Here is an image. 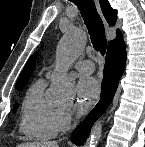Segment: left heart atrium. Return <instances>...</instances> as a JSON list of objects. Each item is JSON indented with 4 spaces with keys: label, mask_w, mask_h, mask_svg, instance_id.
I'll list each match as a JSON object with an SVG mask.
<instances>
[{
    "label": "left heart atrium",
    "mask_w": 145,
    "mask_h": 147,
    "mask_svg": "<svg viewBox=\"0 0 145 147\" xmlns=\"http://www.w3.org/2000/svg\"><path fill=\"white\" fill-rule=\"evenodd\" d=\"M76 92L79 106L85 109L99 98L101 86L96 78L84 77L78 82Z\"/></svg>",
    "instance_id": "left-heart-atrium-1"
}]
</instances>
